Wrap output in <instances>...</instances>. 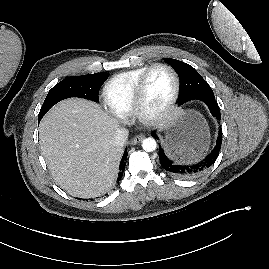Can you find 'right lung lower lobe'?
Masks as SVG:
<instances>
[{"label": "right lung lower lobe", "mask_w": 269, "mask_h": 269, "mask_svg": "<svg viewBox=\"0 0 269 269\" xmlns=\"http://www.w3.org/2000/svg\"><path fill=\"white\" fill-rule=\"evenodd\" d=\"M127 155L128 153L125 151L124 154H123V157L121 159V162H120V166H119V174H118V178H117V184H119L121 178H122V175H123V172L125 170V166H126V158H127Z\"/></svg>", "instance_id": "98d812e1"}]
</instances>
